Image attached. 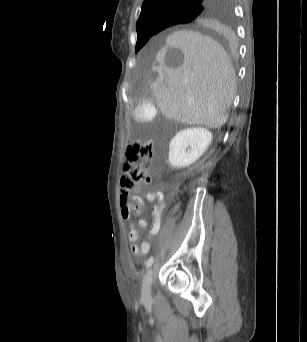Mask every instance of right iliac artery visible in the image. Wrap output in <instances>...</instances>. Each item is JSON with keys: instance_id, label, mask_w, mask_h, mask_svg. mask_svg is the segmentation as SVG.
Here are the masks:
<instances>
[{"instance_id": "1", "label": "right iliac artery", "mask_w": 307, "mask_h": 342, "mask_svg": "<svg viewBox=\"0 0 307 342\" xmlns=\"http://www.w3.org/2000/svg\"><path fill=\"white\" fill-rule=\"evenodd\" d=\"M153 262H154V258H153V257H150V258L147 260V262H146V267H147V268L151 267L152 264H153Z\"/></svg>"}]
</instances>
